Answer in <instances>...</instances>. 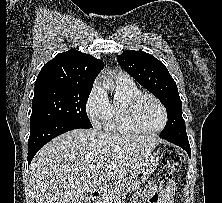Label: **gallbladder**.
<instances>
[{"label":"gallbladder","instance_id":"gallbladder-1","mask_svg":"<svg viewBox=\"0 0 222 203\" xmlns=\"http://www.w3.org/2000/svg\"><path fill=\"white\" fill-rule=\"evenodd\" d=\"M82 203H90V198H89L88 196H86V197L83 199Z\"/></svg>","mask_w":222,"mask_h":203}]
</instances>
